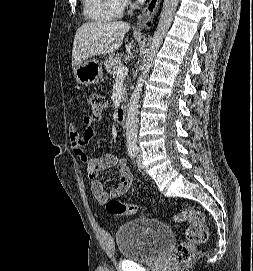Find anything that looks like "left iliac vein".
I'll list each match as a JSON object with an SVG mask.
<instances>
[{
  "label": "left iliac vein",
  "mask_w": 253,
  "mask_h": 271,
  "mask_svg": "<svg viewBox=\"0 0 253 271\" xmlns=\"http://www.w3.org/2000/svg\"><path fill=\"white\" fill-rule=\"evenodd\" d=\"M136 166L141 170L143 169L142 152L139 147L136 148Z\"/></svg>",
  "instance_id": "1"
}]
</instances>
